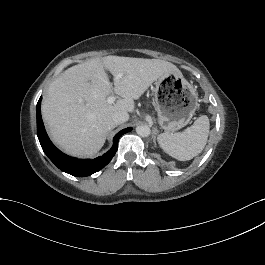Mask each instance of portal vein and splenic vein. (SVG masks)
I'll return each mask as SVG.
<instances>
[{"mask_svg": "<svg viewBox=\"0 0 265 265\" xmlns=\"http://www.w3.org/2000/svg\"><path fill=\"white\" fill-rule=\"evenodd\" d=\"M122 76H123L122 74H118V75H117V78H121ZM115 100H116V97H114V96H109V97L107 98V102H108L109 104H113Z\"/></svg>", "mask_w": 265, "mask_h": 265, "instance_id": "portal-vein-and-splenic-vein-1", "label": "portal vein and splenic vein"}]
</instances>
